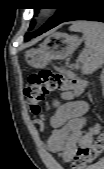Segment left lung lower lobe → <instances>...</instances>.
<instances>
[{
    "instance_id": "obj_1",
    "label": "left lung lower lobe",
    "mask_w": 104,
    "mask_h": 169,
    "mask_svg": "<svg viewBox=\"0 0 104 169\" xmlns=\"http://www.w3.org/2000/svg\"><path fill=\"white\" fill-rule=\"evenodd\" d=\"M75 20H91V21L104 22L103 3L101 1H95V0H79L76 9L63 22L75 21ZM44 32L46 31L40 30L33 37L38 36ZM28 40H30V38L25 39V41Z\"/></svg>"
}]
</instances>
